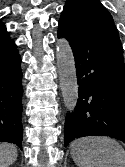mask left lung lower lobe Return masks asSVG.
Returning a JSON list of instances; mask_svg holds the SVG:
<instances>
[{"label":"left lung lower lobe","mask_w":125,"mask_h":167,"mask_svg":"<svg viewBox=\"0 0 125 167\" xmlns=\"http://www.w3.org/2000/svg\"><path fill=\"white\" fill-rule=\"evenodd\" d=\"M58 37H65L72 48L79 85L74 112L66 116L65 146L84 136L125 142V64L118 31L59 22Z\"/></svg>","instance_id":"obj_1"}]
</instances>
